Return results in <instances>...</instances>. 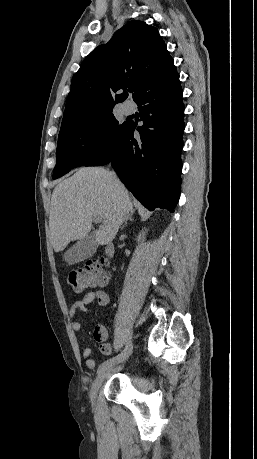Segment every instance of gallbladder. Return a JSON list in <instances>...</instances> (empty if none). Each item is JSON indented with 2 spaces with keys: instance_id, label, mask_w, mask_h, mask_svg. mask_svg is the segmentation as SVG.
Listing matches in <instances>:
<instances>
[{
  "instance_id": "obj_1",
  "label": "gallbladder",
  "mask_w": 257,
  "mask_h": 459,
  "mask_svg": "<svg viewBox=\"0 0 257 459\" xmlns=\"http://www.w3.org/2000/svg\"><path fill=\"white\" fill-rule=\"evenodd\" d=\"M97 247L95 234L90 233L69 248L63 258L70 265L79 263L91 257L96 252Z\"/></svg>"
}]
</instances>
